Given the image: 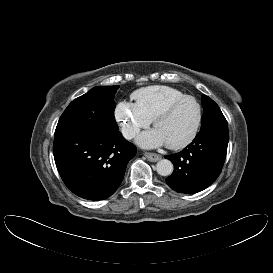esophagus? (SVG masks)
<instances>
[{
    "label": "esophagus",
    "instance_id": "esophagus-1",
    "mask_svg": "<svg viewBox=\"0 0 273 273\" xmlns=\"http://www.w3.org/2000/svg\"><path fill=\"white\" fill-rule=\"evenodd\" d=\"M144 156L151 162H156L162 158L161 155L151 152H145Z\"/></svg>",
    "mask_w": 273,
    "mask_h": 273
}]
</instances>
